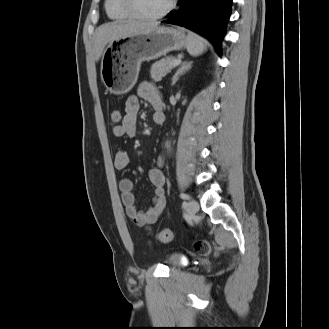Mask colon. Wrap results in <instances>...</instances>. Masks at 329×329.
<instances>
[{
    "label": "colon",
    "instance_id": "obj_1",
    "mask_svg": "<svg viewBox=\"0 0 329 329\" xmlns=\"http://www.w3.org/2000/svg\"><path fill=\"white\" fill-rule=\"evenodd\" d=\"M123 120L122 112L120 109L116 108L111 111V123L113 125L121 124ZM174 238V232L170 228L161 229L157 234V239L160 242L166 243L170 242ZM195 251L199 255H208L211 252L209 243L206 240L199 239L194 244Z\"/></svg>",
    "mask_w": 329,
    "mask_h": 329
}]
</instances>
